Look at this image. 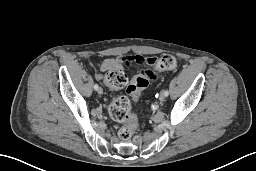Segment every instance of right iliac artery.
Listing matches in <instances>:
<instances>
[{"instance_id": "right-iliac-artery-1", "label": "right iliac artery", "mask_w": 256, "mask_h": 171, "mask_svg": "<svg viewBox=\"0 0 256 171\" xmlns=\"http://www.w3.org/2000/svg\"><path fill=\"white\" fill-rule=\"evenodd\" d=\"M94 89H95V90H98V89H99L98 84H95V85H94Z\"/></svg>"}]
</instances>
